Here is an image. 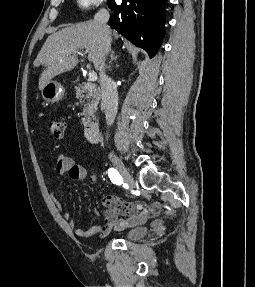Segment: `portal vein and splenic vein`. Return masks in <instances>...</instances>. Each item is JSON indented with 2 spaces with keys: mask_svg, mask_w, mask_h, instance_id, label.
<instances>
[{
  "mask_svg": "<svg viewBox=\"0 0 255 287\" xmlns=\"http://www.w3.org/2000/svg\"><path fill=\"white\" fill-rule=\"evenodd\" d=\"M74 54H80V52H74ZM89 82H96L97 80V74L96 72H89Z\"/></svg>",
  "mask_w": 255,
  "mask_h": 287,
  "instance_id": "18ae733b",
  "label": "portal vein and splenic vein"
}]
</instances>
